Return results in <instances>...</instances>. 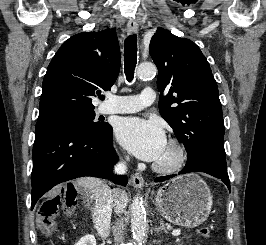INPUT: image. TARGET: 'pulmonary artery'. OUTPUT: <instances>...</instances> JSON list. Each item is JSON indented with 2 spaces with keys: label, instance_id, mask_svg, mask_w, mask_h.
<instances>
[{
  "label": "pulmonary artery",
  "instance_id": "pulmonary-artery-1",
  "mask_svg": "<svg viewBox=\"0 0 266 245\" xmlns=\"http://www.w3.org/2000/svg\"><path fill=\"white\" fill-rule=\"evenodd\" d=\"M151 90V87H148ZM142 96H116L108 95L107 101L101 105V112L112 113H133L138 112L155 101V92L142 91ZM126 99V100H125Z\"/></svg>",
  "mask_w": 266,
  "mask_h": 245
}]
</instances>
